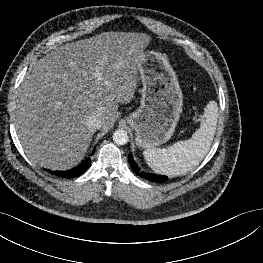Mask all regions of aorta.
<instances>
[{
    "mask_svg": "<svg viewBox=\"0 0 263 263\" xmlns=\"http://www.w3.org/2000/svg\"><path fill=\"white\" fill-rule=\"evenodd\" d=\"M113 140L117 145H125L129 141V136L126 130L118 129L113 133Z\"/></svg>",
    "mask_w": 263,
    "mask_h": 263,
    "instance_id": "obj_1",
    "label": "aorta"
}]
</instances>
